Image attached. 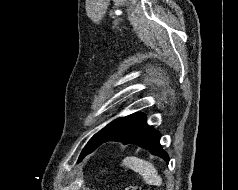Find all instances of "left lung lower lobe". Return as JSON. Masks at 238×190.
Returning a JSON list of instances; mask_svg holds the SVG:
<instances>
[{
	"label": "left lung lower lobe",
	"mask_w": 238,
	"mask_h": 190,
	"mask_svg": "<svg viewBox=\"0 0 238 190\" xmlns=\"http://www.w3.org/2000/svg\"><path fill=\"white\" fill-rule=\"evenodd\" d=\"M108 141L121 142L124 145L136 144L169 162L168 154L160 145V133L147 124L144 113L139 112L119 118L101 144Z\"/></svg>",
	"instance_id": "left-lung-lower-lobe-1"
}]
</instances>
